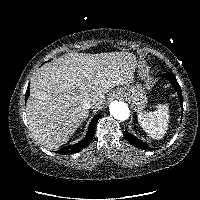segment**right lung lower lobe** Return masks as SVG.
Instances as JSON below:
<instances>
[{"mask_svg":"<svg viewBox=\"0 0 200 200\" xmlns=\"http://www.w3.org/2000/svg\"><path fill=\"white\" fill-rule=\"evenodd\" d=\"M28 96H29V86L26 90V101L28 99ZM98 118H99V114L96 115L93 118V120L91 121L88 132H87L85 138L81 142L77 143L76 145L66 146V147L60 149L58 152L61 154L69 155V154L76 153V152L82 150L83 148H85L90 143V141L92 140V138L95 134V125L98 121Z\"/></svg>","mask_w":200,"mask_h":200,"instance_id":"98d812e1","label":"right lung lower lobe"}]
</instances>
